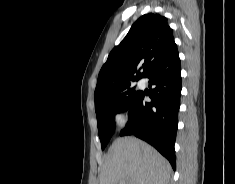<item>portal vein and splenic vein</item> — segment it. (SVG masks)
Instances as JSON below:
<instances>
[{
	"mask_svg": "<svg viewBox=\"0 0 235 184\" xmlns=\"http://www.w3.org/2000/svg\"><path fill=\"white\" fill-rule=\"evenodd\" d=\"M120 184H126V182H120Z\"/></svg>",
	"mask_w": 235,
	"mask_h": 184,
	"instance_id": "18ae733b",
	"label": "portal vein and splenic vein"
}]
</instances>
